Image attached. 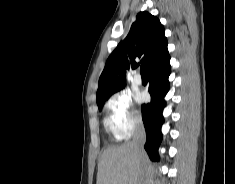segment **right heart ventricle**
Returning <instances> with one entry per match:
<instances>
[{
    "label": "right heart ventricle",
    "mask_w": 235,
    "mask_h": 184,
    "mask_svg": "<svg viewBox=\"0 0 235 184\" xmlns=\"http://www.w3.org/2000/svg\"><path fill=\"white\" fill-rule=\"evenodd\" d=\"M116 148H117V145L112 144V145L110 146V153L114 152V151L116 150Z\"/></svg>",
    "instance_id": "1"
}]
</instances>
